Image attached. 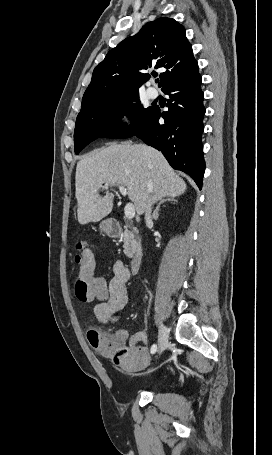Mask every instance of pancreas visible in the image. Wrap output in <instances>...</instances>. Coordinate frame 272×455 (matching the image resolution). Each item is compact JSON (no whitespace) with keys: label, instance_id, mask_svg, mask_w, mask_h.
Wrapping results in <instances>:
<instances>
[{"label":"pancreas","instance_id":"1","mask_svg":"<svg viewBox=\"0 0 272 455\" xmlns=\"http://www.w3.org/2000/svg\"><path fill=\"white\" fill-rule=\"evenodd\" d=\"M123 241L124 254L127 257L132 258L141 247L140 239H138L134 233L126 229L123 235Z\"/></svg>","mask_w":272,"mask_h":455}]
</instances>
